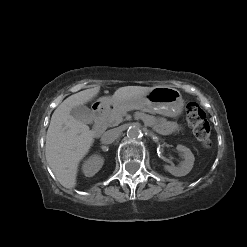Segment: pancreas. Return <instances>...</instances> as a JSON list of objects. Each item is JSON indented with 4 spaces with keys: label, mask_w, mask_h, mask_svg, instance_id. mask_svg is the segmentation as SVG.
Wrapping results in <instances>:
<instances>
[{
    "label": "pancreas",
    "mask_w": 247,
    "mask_h": 247,
    "mask_svg": "<svg viewBox=\"0 0 247 247\" xmlns=\"http://www.w3.org/2000/svg\"><path fill=\"white\" fill-rule=\"evenodd\" d=\"M130 110H141L143 112H150L146 107H143L136 103H125L114 108L110 112H107L103 117L101 123L105 126H117L123 121V117L126 115L127 111Z\"/></svg>",
    "instance_id": "pancreas-1"
}]
</instances>
